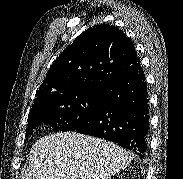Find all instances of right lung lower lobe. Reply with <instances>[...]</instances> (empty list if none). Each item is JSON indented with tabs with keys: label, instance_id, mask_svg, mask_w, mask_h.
I'll return each mask as SVG.
<instances>
[{
	"label": "right lung lower lobe",
	"instance_id": "98d812e1",
	"mask_svg": "<svg viewBox=\"0 0 183 179\" xmlns=\"http://www.w3.org/2000/svg\"><path fill=\"white\" fill-rule=\"evenodd\" d=\"M75 131L115 142L145 159L149 138V98L142 67L105 87L93 118Z\"/></svg>",
	"mask_w": 183,
	"mask_h": 179
}]
</instances>
